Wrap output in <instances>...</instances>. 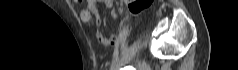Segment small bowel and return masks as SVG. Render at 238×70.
Returning <instances> with one entry per match:
<instances>
[{
    "mask_svg": "<svg viewBox=\"0 0 238 70\" xmlns=\"http://www.w3.org/2000/svg\"><path fill=\"white\" fill-rule=\"evenodd\" d=\"M101 3L107 8L110 9V16L112 18H116L117 14L114 10H112V0H103ZM97 1L95 0H90L89 1V7L88 10H85L81 13V18L83 21H89L91 18V15H97L98 11L96 8ZM96 38L99 41L100 44L104 46H110L114 45L117 42V35H113L110 38L106 37L100 30L96 31Z\"/></svg>",
    "mask_w": 238,
    "mask_h": 70,
    "instance_id": "small-bowel-1",
    "label": "small bowel"
}]
</instances>
